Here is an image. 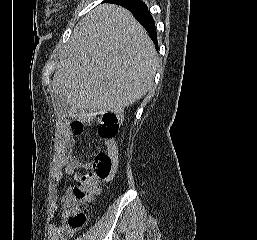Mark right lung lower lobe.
I'll return each mask as SVG.
<instances>
[{
    "label": "right lung lower lobe",
    "instance_id": "98d812e1",
    "mask_svg": "<svg viewBox=\"0 0 257 240\" xmlns=\"http://www.w3.org/2000/svg\"><path fill=\"white\" fill-rule=\"evenodd\" d=\"M128 9L138 20V22L147 30L150 34L152 41L158 47L157 33L154 25L153 17L151 16L148 8L141 0H127L126 4L120 5Z\"/></svg>",
    "mask_w": 257,
    "mask_h": 240
}]
</instances>
